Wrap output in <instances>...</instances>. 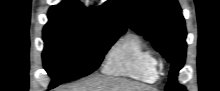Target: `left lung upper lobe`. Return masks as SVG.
<instances>
[{
    "label": "left lung upper lobe",
    "mask_w": 220,
    "mask_h": 91,
    "mask_svg": "<svg viewBox=\"0 0 220 91\" xmlns=\"http://www.w3.org/2000/svg\"><path fill=\"white\" fill-rule=\"evenodd\" d=\"M128 25L171 63L167 91H186L177 75L186 56V28L177 0H118Z\"/></svg>",
    "instance_id": "5c2ea615"
}]
</instances>
